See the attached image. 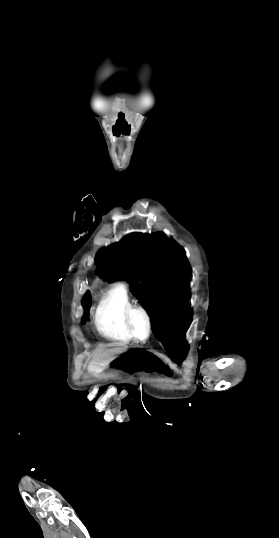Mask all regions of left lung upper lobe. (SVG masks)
I'll list each match as a JSON object with an SVG mask.
<instances>
[{
  "label": "left lung upper lobe",
  "mask_w": 279,
  "mask_h": 538,
  "mask_svg": "<svg viewBox=\"0 0 279 538\" xmlns=\"http://www.w3.org/2000/svg\"><path fill=\"white\" fill-rule=\"evenodd\" d=\"M96 273L103 279H126L131 292L153 320L154 334L185 335L192 321L188 282L191 268L184 249L162 232L133 233L102 248L96 255Z\"/></svg>",
  "instance_id": "obj_1"
}]
</instances>
